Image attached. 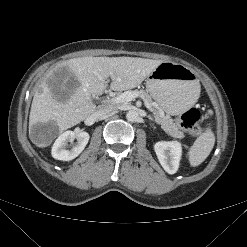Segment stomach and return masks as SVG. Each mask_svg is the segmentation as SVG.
<instances>
[{
    "label": "stomach",
    "mask_w": 247,
    "mask_h": 247,
    "mask_svg": "<svg viewBox=\"0 0 247 247\" xmlns=\"http://www.w3.org/2000/svg\"><path fill=\"white\" fill-rule=\"evenodd\" d=\"M146 89L158 105L170 115H179L193 106L200 94L194 72L178 63H160L146 79Z\"/></svg>",
    "instance_id": "obj_1"
}]
</instances>
